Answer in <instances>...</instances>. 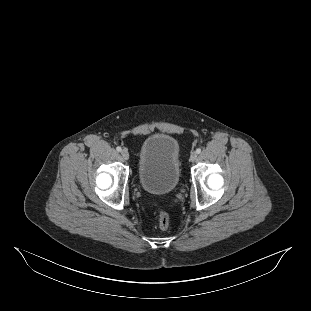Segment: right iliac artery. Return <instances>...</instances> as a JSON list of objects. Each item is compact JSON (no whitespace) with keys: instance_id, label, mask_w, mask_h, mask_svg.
<instances>
[{"instance_id":"1","label":"right iliac artery","mask_w":311,"mask_h":311,"mask_svg":"<svg viewBox=\"0 0 311 311\" xmlns=\"http://www.w3.org/2000/svg\"><path fill=\"white\" fill-rule=\"evenodd\" d=\"M116 150H117L118 152H121L122 149H121V147L118 146V147L116 148Z\"/></svg>"}]
</instances>
